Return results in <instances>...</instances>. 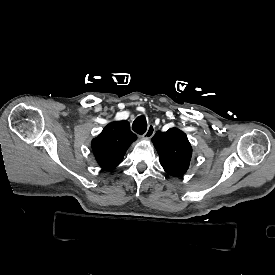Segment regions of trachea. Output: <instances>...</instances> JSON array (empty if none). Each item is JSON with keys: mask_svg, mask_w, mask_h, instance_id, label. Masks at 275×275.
Masks as SVG:
<instances>
[{"mask_svg": "<svg viewBox=\"0 0 275 275\" xmlns=\"http://www.w3.org/2000/svg\"><path fill=\"white\" fill-rule=\"evenodd\" d=\"M132 129L140 135L144 134L147 130L146 118L144 116L137 117L132 124Z\"/></svg>", "mask_w": 275, "mask_h": 275, "instance_id": "obj_1", "label": "trachea"}]
</instances>
